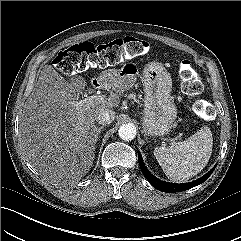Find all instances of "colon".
Wrapping results in <instances>:
<instances>
[{"mask_svg":"<svg viewBox=\"0 0 241 241\" xmlns=\"http://www.w3.org/2000/svg\"><path fill=\"white\" fill-rule=\"evenodd\" d=\"M149 44L141 39L125 37L106 44L95 45L84 42L61 51L54 59V66L64 74H73L91 67L109 66L123 58H134L144 55ZM182 90L190 97L199 95L203 86L189 60L180 65ZM193 110L202 117L211 115L209 106L203 100H196Z\"/></svg>","mask_w":241,"mask_h":241,"instance_id":"5ec220e1","label":"colon"}]
</instances>
